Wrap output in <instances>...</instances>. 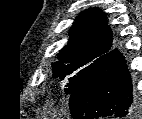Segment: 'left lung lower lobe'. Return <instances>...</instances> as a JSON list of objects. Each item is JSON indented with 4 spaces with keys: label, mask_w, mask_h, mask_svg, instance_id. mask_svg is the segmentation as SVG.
<instances>
[{
    "label": "left lung lower lobe",
    "mask_w": 142,
    "mask_h": 119,
    "mask_svg": "<svg viewBox=\"0 0 142 119\" xmlns=\"http://www.w3.org/2000/svg\"><path fill=\"white\" fill-rule=\"evenodd\" d=\"M132 91L124 56L111 50L70 94L71 115L74 119L133 117L137 108Z\"/></svg>",
    "instance_id": "1"
}]
</instances>
